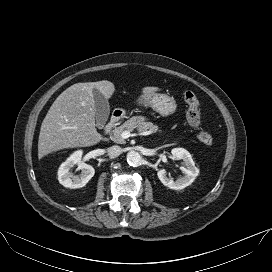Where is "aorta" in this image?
<instances>
[{"label":"aorta","mask_w":272,"mask_h":272,"mask_svg":"<svg viewBox=\"0 0 272 272\" xmlns=\"http://www.w3.org/2000/svg\"><path fill=\"white\" fill-rule=\"evenodd\" d=\"M127 162L131 166H138L141 163L142 157L137 151H129L127 153Z\"/></svg>","instance_id":"762f6f07"}]
</instances>
